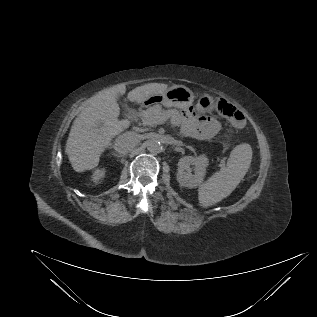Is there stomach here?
Returning <instances> with one entry per match:
<instances>
[{"label":"stomach","instance_id":"obj_1","mask_svg":"<svg viewBox=\"0 0 317 317\" xmlns=\"http://www.w3.org/2000/svg\"><path fill=\"white\" fill-rule=\"evenodd\" d=\"M194 93L183 85L169 87L163 94L149 97L146 105H163L167 108L176 107L187 109L193 104ZM198 107L204 112H212L215 107V99L209 94H203L198 100Z\"/></svg>","mask_w":317,"mask_h":317}]
</instances>
